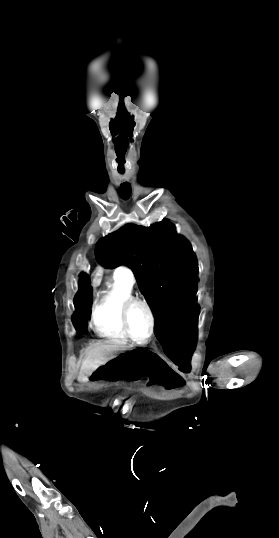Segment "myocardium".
Here are the masks:
<instances>
[{"label": "myocardium", "instance_id": "f54148a6", "mask_svg": "<svg viewBox=\"0 0 279 538\" xmlns=\"http://www.w3.org/2000/svg\"><path fill=\"white\" fill-rule=\"evenodd\" d=\"M134 306H141L143 307L147 314H148V317H149V321H150V332H149V335L147 337L146 340L144 341H139L137 340L132 332H131V329H130V325H129V314H130V310L134 307ZM120 320H121V325L123 327V330L125 332V334L127 335V337L132 341L134 342L135 344H138V345H145L147 343H149L151 341V339L153 338L154 334H155V330H156V318H155V314L153 312V309L152 307L150 306V304L146 301V300H143V299H140V298H137V297H132L130 299H128L121 307V311H120Z\"/></svg>", "mask_w": 279, "mask_h": 538}]
</instances>
